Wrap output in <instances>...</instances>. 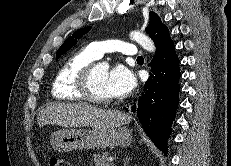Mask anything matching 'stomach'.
I'll return each instance as SVG.
<instances>
[{"instance_id":"1","label":"stomach","mask_w":231,"mask_h":166,"mask_svg":"<svg viewBox=\"0 0 231 166\" xmlns=\"http://www.w3.org/2000/svg\"><path fill=\"white\" fill-rule=\"evenodd\" d=\"M51 146L60 153L73 150L126 147L132 141V131L127 127L100 129H62L51 135Z\"/></svg>"}]
</instances>
